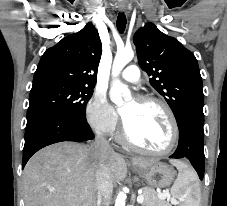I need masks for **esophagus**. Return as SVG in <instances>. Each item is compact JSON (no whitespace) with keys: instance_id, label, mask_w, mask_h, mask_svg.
Returning <instances> with one entry per match:
<instances>
[{"instance_id":"1","label":"esophagus","mask_w":227,"mask_h":206,"mask_svg":"<svg viewBox=\"0 0 227 206\" xmlns=\"http://www.w3.org/2000/svg\"><path fill=\"white\" fill-rule=\"evenodd\" d=\"M120 12H124L126 10L125 2H121L118 6Z\"/></svg>"}]
</instances>
